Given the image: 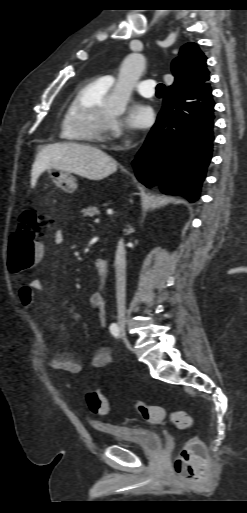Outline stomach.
I'll return each instance as SVG.
<instances>
[{"label":"stomach","instance_id":"1","mask_svg":"<svg viewBox=\"0 0 247 513\" xmlns=\"http://www.w3.org/2000/svg\"><path fill=\"white\" fill-rule=\"evenodd\" d=\"M51 180L60 188L68 193H72L77 189L76 178L68 171L57 168L48 169Z\"/></svg>","mask_w":247,"mask_h":513}]
</instances>
